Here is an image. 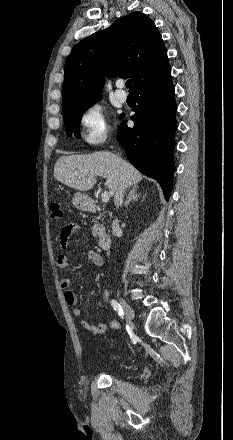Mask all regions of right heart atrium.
Here are the masks:
<instances>
[{"label": "right heart atrium", "instance_id": "obj_1", "mask_svg": "<svg viewBox=\"0 0 233 440\" xmlns=\"http://www.w3.org/2000/svg\"><path fill=\"white\" fill-rule=\"evenodd\" d=\"M79 125L82 141L91 146L103 143L110 132L106 112L98 103H92L81 111Z\"/></svg>", "mask_w": 233, "mask_h": 440}]
</instances>
